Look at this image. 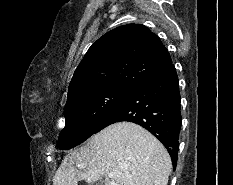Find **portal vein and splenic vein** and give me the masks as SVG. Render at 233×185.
Returning a JSON list of instances; mask_svg holds the SVG:
<instances>
[{
    "mask_svg": "<svg viewBox=\"0 0 233 185\" xmlns=\"http://www.w3.org/2000/svg\"><path fill=\"white\" fill-rule=\"evenodd\" d=\"M77 167H78V168H84V166H83V165H77ZM108 176H109V177H113V174H112V173H110ZM113 185H115V184L113 183Z\"/></svg>",
    "mask_w": 233,
    "mask_h": 185,
    "instance_id": "18ae733b",
    "label": "portal vein and splenic vein"
}]
</instances>
